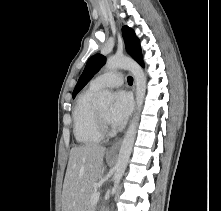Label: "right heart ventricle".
<instances>
[{"instance_id":"e07e8e85","label":"right heart ventricle","mask_w":221,"mask_h":211,"mask_svg":"<svg viewBox=\"0 0 221 211\" xmlns=\"http://www.w3.org/2000/svg\"><path fill=\"white\" fill-rule=\"evenodd\" d=\"M98 88L90 84L78 96L73 110V132L78 143L94 145L99 143L103 135L100 132L94 98Z\"/></svg>"}]
</instances>
